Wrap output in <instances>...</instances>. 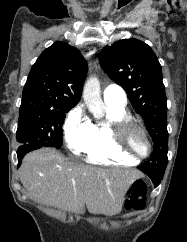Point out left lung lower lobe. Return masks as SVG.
<instances>
[{
	"label": "left lung lower lobe",
	"mask_w": 187,
	"mask_h": 242,
	"mask_svg": "<svg viewBox=\"0 0 187 242\" xmlns=\"http://www.w3.org/2000/svg\"><path fill=\"white\" fill-rule=\"evenodd\" d=\"M141 171H143L145 174H147L151 178V180L154 184V187H157L159 185V183L162 180L163 175H164V173H154V172H149V171H144V170H141Z\"/></svg>",
	"instance_id": "0a47b994"
}]
</instances>
